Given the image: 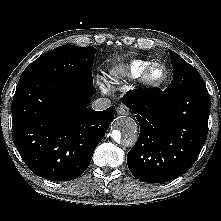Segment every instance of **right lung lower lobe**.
<instances>
[{"instance_id":"right-lung-lower-lobe-1","label":"right lung lower lobe","mask_w":221,"mask_h":221,"mask_svg":"<svg viewBox=\"0 0 221 221\" xmlns=\"http://www.w3.org/2000/svg\"><path fill=\"white\" fill-rule=\"evenodd\" d=\"M93 85L41 77L19 81L12 101L13 142L27 166L51 181H70L88 167L115 106L90 109Z\"/></svg>"}]
</instances>
